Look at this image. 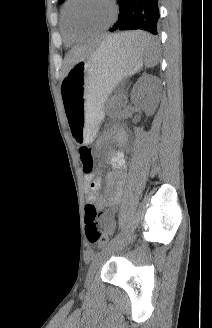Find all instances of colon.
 Here are the masks:
<instances>
[{
    "label": "colon",
    "instance_id": "colon-1",
    "mask_svg": "<svg viewBox=\"0 0 212 328\" xmlns=\"http://www.w3.org/2000/svg\"><path fill=\"white\" fill-rule=\"evenodd\" d=\"M79 156L82 162L83 172L90 173L93 171L94 162L91 148L82 146L79 148ZM99 211L98 208L93 204L86 205L85 208V234L89 243L94 245L103 244L106 240L99 224Z\"/></svg>",
    "mask_w": 212,
    "mask_h": 328
}]
</instances>
